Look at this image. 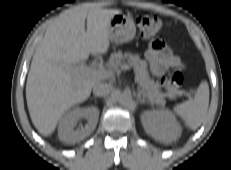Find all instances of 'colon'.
<instances>
[{
    "label": "colon",
    "instance_id": "obj_1",
    "mask_svg": "<svg viewBox=\"0 0 231 170\" xmlns=\"http://www.w3.org/2000/svg\"><path fill=\"white\" fill-rule=\"evenodd\" d=\"M137 28L144 37H152L158 34L162 28V21L151 15H141L136 20ZM183 75L180 72H174L162 79V84L168 93L172 96H182L185 94L183 90Z\"/></svg>",
    "mask_w": 231,
    "mask_h": 170
}]
</instances>
